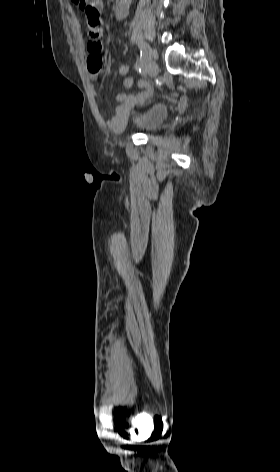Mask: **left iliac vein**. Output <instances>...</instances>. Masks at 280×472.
Wrapping results in <instances>:
<instances>
[{"label":"left iliac vein","mask_w":280,"mask_h":472,"mask_svg":"<svg viewBox=\"0 0 280 472\" xmlns=\"http://www.w3.org/2000/svg\"><path fill=\"white\" fill-rule=\"evenodd\" d=\"M150 52V48H149ZM158 64L153 59H150L147 64V71L151 78L155 77L158 74Z\"/></svg>","instance_id":"1"}]
</instances>
